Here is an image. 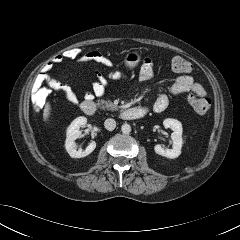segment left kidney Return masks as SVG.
<instances>
[{"label":"left kidney","mask_w":240,"mask_h":240,"mask_svg":"<svg viewBox=\"0 0 240 240\" xmlns=\"http://www.w3.org/2000/svg\"><path fill=\"white\" fill-rule=\"evenodd\" d=\"M165 128H170L173 130L171 138L173 141V148L167 149L163 148L161 144L154 146V150L158 155L167 157L169 159L177 158L181 154V148L183 144L182 140V124L176 119L167 118L163 121Z\"/></svg>","instance_id":"left-kidney-1"}]
</instances>
